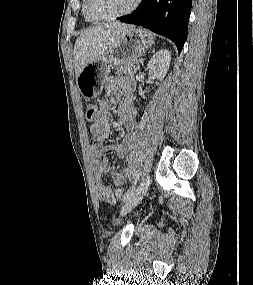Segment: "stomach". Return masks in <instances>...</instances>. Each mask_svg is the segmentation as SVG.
<instances>
[{
	"mask_svg": "<svg viewBox=\"0 0 253 285\" xmlns=\"http://www.w3.org/2000/svg\"><path fill=\"white\" fill-rule=\"evenodd\" d=\"M154 43L146 29L133 28L101 56L85 66L76 78L80 94L90 100L100 95L111 69L136 61Z\"/></svg>",
	"mask_w": 253,
	"mask_h": 285,
	"instance_id": "stomach-1",
	"label": "stomach"
}]
</instances>
